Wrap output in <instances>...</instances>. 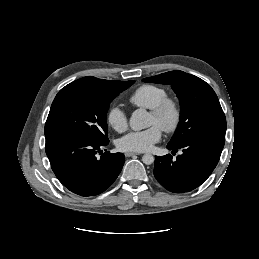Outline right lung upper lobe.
Returning <instances> with one entry per match:
<instances>
[{"label": "right lung upper lobe", "instance_id": "cb5924a9", "mask_svg": "<svg viewBox=\"0 0 259 259\" xmlns=\"http://www.w3.org/2000/svg\"><path fill=\"white\" fill-rule=\"evenodd\" d=\"M72 83L85 85L87 87H90L98 91H107L112 89L115 86L116 81L103 80V79H98L90 76V77H83Z\"/></svg>", "mask_w": 259, "mask_h": 259}]
</instances>
